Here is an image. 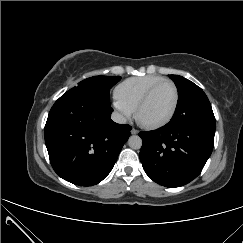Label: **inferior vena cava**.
Listing matches in <instances>:
<instances>
[{
    "label": "inferior vena cava",
    "mask_w": 243,
    "mask_h": 243,
    "mask_svg": "<svg viewBox=\"0 0 243 243\" xmlns=\"http://www.w3.org/2000/svg\"><path fill=\"white\" fill-rule=\"evenodd\" d=\"M111 118L116 123L124 124L126 122V118L118 112H113Z\"/></svg>",
    "instance_id": "inferior-vena-cava-1"
}]
</instances>
